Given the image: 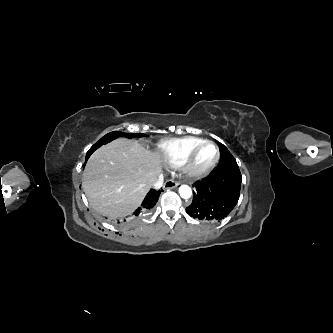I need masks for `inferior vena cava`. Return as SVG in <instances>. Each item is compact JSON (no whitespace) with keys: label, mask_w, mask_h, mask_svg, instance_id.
<instances>
[{"label":"inferior vena cava","mask_w":333,"mask_h":333,"mask_svg":"<svg viewBox=\"0 0 333 333\" xmlns=\"http://www.w3.org/2000/svg\"><path fill=\"white\" fill-rule=\"evenodd\" d=\"M164 178L163 175L160 174L156 181L152 184V187L156 190H159L163 186Z\"/></svg>","instance_id":"602c4592"}]
</instances>
